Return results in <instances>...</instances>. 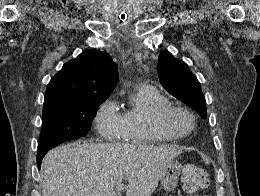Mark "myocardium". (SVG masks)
Listing matches in <instances>:
<instances>
[{"mask_svg":"<svg viewBox=\"0 0 260 196\" xmlns=\"http://www.w3.org/2000/svg\"><path fill=\"white\" fill-rule=\"evenodd\" d=\"M175 113L181 114L189 120L190 126L187 129L179 130L172 126L170 119ZM192 117V113L187 108L183 106L170 105L159 110L158 116L153 121L152 125L155 129L166 135H169L175 139H183L190 135L194 129L192 125Z\"/></svg>","mask_w":260,"mask_h":196,"instance_id":"1","label":"myocardium"}]
</instances>
